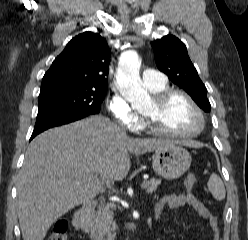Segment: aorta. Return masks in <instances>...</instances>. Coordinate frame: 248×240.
Here are the masks:
<instances>
[{
  "label": "aorta",
  "instance_id": "1",
  "mask_svg": "<svg viewBox=\"0 0 248 240\" xmlns=\"http://www.w3.org/2000/svg\"><path fill=\"white\" fill-rule=\"evenodd\" d=\"M141 61L136 51L124 52L117 69V88L121 95L137 109L150 103V96L142 87L139 69Z\"/></svg>",
  "mask_w": 248,
  "mask_h": 240
}]
</instances>
